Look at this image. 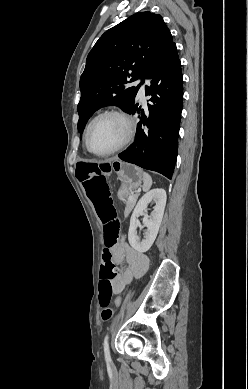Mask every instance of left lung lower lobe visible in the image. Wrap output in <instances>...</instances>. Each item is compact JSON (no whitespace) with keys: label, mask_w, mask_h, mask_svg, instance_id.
I'll return each instance as SVG.
<instances>
[{"label":"left lung lower lobe","mask_w":248,"mask_h":389,"mask_svg":"<svg viewBox=\"0 0 248 389\" xmlns=\"http://www.w3.org/2000/svg\"><path fill=\"white\" fill-rule=\"evenodd\" d=\"M145 94L147 108L134 103L126 112L141 114L134 143L119 158L171 179L177 160L178 134L183 101L181 63L174 43L150 69Z\"/></svg>","instance_id":"left-lung-lower-lobe-1"}]
</instances>
